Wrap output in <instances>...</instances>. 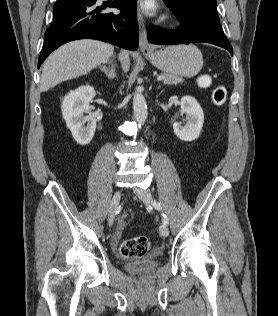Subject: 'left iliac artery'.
<instances>
[{
	"instance_id": "obj_1",
	"label": "left iliac artery",
	"mask_w": 278,
	"mask_h": 316,
	"mask_svg": "<svg viewBox=\"0 0 278 316\" xmlns=\"http://www.w3.org/2000/svg\"><path fill=\"white\" fill-rule=\"evenodd\" d=\"M152 205H153V207H154L155 209H157V210H159V211L162 210V206H161V204H160L159 202L153 201V202H152ZM162 216H163V219H162L163 224L168 225L169 220H168L166 214L163 213Z\"/></svg>"
}]
</instances>
